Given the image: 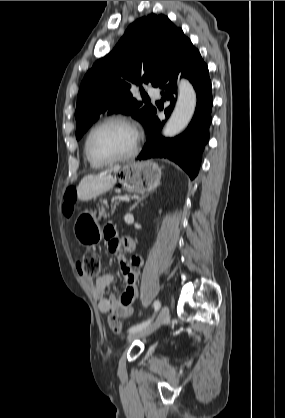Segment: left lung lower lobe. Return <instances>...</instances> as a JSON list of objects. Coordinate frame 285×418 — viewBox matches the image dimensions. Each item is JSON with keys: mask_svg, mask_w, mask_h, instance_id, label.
Listing matches in <instances>:
<instances>
[{"mask_svg": "<svg viewBox=\"0 0 285 418\" xmlns=\"http://www.w3.org/2000/svg\"><path fill=\"white\" fill-rule=\"evenodd\" d=\"M179 73L181 77L189 79L196 91L194 116L181 135L170 139L161 137V129L165 122L160 121L155 112L147 131V142L137 160L167 158L179 164L190 178L194 179L198 174L204 145L209 139L213 98L208 67L186 36L178 43L158 85L164 90L161 93L162 100L170 101V105L165 109L166 118L170 116L174 107Z\"/></svg>", "mask_w": 285, "mask_h": 418, "instance_id": "obj_1", "label": "left lung lower lobe"}]
</instances>
